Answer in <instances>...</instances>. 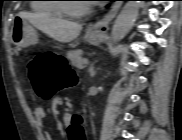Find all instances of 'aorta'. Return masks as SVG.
<instances>
[{
	"label": "aorta",
	"mask_w": 182,
	"mask_h": 140,
	"mask_svg": "<svg viewBox=\"0 0 182 140\" xmlns=\"http://www.w3.org/2000/svg\"><path fill=\"white\" fill-rule=\"evenodd\" d=\"M140 5L141 1L126 2L117 16L111 31L113 43L119 42L129 33L137 19Z\"/></svg>",
	"instance_id": "1"
}]
</instances>
